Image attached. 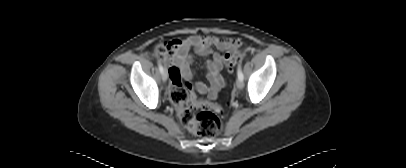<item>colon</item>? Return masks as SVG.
<instances>
[{
  "mask_svg": "<svg viewBox=\"0 0 406 168\" xmlns=\"http://www.w3.org/2000/svg\"><path fill=\"white\" fill-rule=\"evenodd\" d=\"M168 51L169 45H160L156 50V54L159 58L164 59ZM242 56V52L226 54L223 60L226 71L232 72L242 59ZM170 73L172 77L170 98L176 106L180 123L204 139H211L219 135L223 129L222 122L217 116V113L221 111V107L193 95L190 91L191 86H184L181 83L177 69L171 68Z\"/></svg>",
  "mask_w": 406,
  "mask_h": 168,
  "instance_id": "5ec220e1",
  "label": "colon"
}]
</instances>
